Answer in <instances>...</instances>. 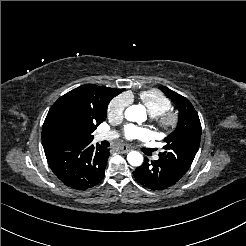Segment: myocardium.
Instances as JSON below:
<instances>
[{"label": "myocardium", "instance_id": "obj_1", "mask_svg": "<svg viewBox=\"0 0 246 246\" xmlns=\"http://www.w3.org/2000/svg\"><path fill=\"white\" fill-rule=\"evenodd\" d=\"M178 119V113L171 108L153 117L156 126L163 132L172 131L176 127Z\"/></svg>", "mask_w": 246, "mask_h": 246}]
</instances>
